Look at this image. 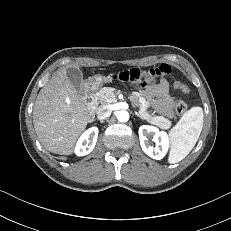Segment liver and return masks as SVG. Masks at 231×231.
<instances>
[{"mask_svg": "<svg viewBox=\"0 0 231 231\" xmlns=\"http://www.w3.org/2000/svg\"><path fill=\"white\" fill-rule=\"evenodd\" d=\"M66 69L59 70L40 90L33 109L34 128L40 142L51 153L61 155L73 153L77 139L94 117L68 80Z\"/></svg>", "mask_w": 231, "mask_h": 231, "instance_id": "1", "label": "liver"}]
</instances>
